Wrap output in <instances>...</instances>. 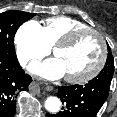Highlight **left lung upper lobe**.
<instances>
[{"mask_svg":"<svg viewBox=\"0 0 117 117\" xmlns=\"http://www.w3.org/2000/svg\"><path fill=\"white\" fill-rule=\"evenodd\" d=\"M113 73H114V59L111 53V49L108 45V57L106 64L102 69V71L98 74V76L92 80L109 88L113 77Z\"/></svg>","mask_w":117,"mask_h":117,"instance_id":"left-lung-upper-lobe-1","label":"left lung upper lobe"}]
</instances>
